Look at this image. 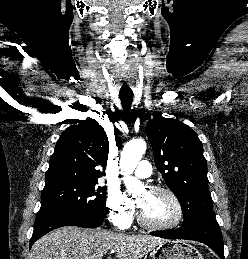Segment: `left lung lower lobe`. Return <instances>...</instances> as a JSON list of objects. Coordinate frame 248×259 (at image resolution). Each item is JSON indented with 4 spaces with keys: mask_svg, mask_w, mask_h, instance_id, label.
<instances>
[{
    "mask_svg": "<svg viewBox=\"0 0 248 259\" xmlns=\"http://www.w3.org/2000/svg\"><path fill=\"white\" fill-rule=\"evenodd\" d=\"M151 235L167 239H186L202 242L215 251L220 259H225L223 238L216 219L204 220L191 225L181 226L176 230L152 232Z\"/></svg>",
    "mask_w": 248,
    "mask_h": 259,
    "instance_id": "obj_1",
    "label": "left lung lower lobe"
}]
</instances>
